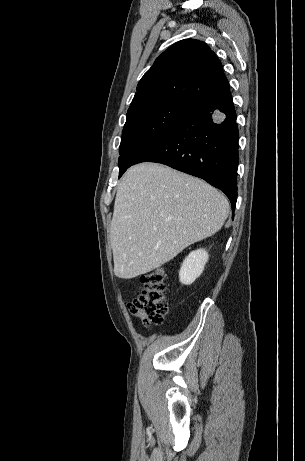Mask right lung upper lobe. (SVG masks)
Wrapping results in <instances>:
<instances>
[{
	"label": "right lung upper lobe",
	"instance_id": "right-lung-upper-lobe-1",
	"mask_svg": "<svg viewBox=\"0 0 305 461\" xmlns=\"http://www.w3.org/2000/svg\"><path fill=\"white\" fill-rule=\"evenodd\" d=\"M227 83L221 62L204 42L181 40L144 74L127 113L159 103L191 106Z\"/></svg>",
	"mask_w": 305,
	"mask_h": 461
}]
</instances>
